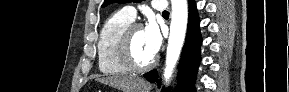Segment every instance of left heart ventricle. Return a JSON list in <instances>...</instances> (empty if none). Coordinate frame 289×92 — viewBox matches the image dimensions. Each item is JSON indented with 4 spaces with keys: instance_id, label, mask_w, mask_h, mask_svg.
Returning a JSON list of instances; mask_svg holds the SVG:
<instances>
[{
    "instance_id": "obj_1",
    "label": "left heart ventricle",
    "mask_w": 289,
    "mask_h": 92,
    "mask_svg": "<svg viewBox=\"0 0 289 92\" xmlns=\"http://www.w3.org/2000/svg\"><path fill=\"white\" fill-rule=\"evenodd\" d=\"M132 53L134 59L139 64H146L150 62L154 57V55L151 54L147 47L143 29H138L133 35Z\"/></svg>"
}]
</instances>
